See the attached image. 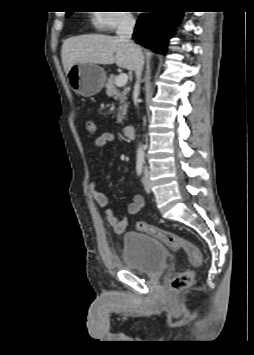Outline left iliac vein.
<instances>
[{"instance_id":"1","label":"left iliac vein","mask_w":254,"mask_h":355,"mask_svg":"<svg viewBox=\"0 0 254 355\" xmlns=\"http://www.w3.org/2000/svg\"><path fill=\"white\" fill-rule=\"evenodd\" d=\"M144 187L147 193H151V183L149 179V170L147 167L144 168V178H143Z\"/></svg>"}]
</instances>
